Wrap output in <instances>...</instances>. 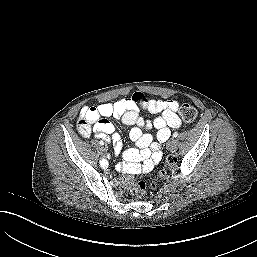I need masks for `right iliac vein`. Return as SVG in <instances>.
I'll return each instance as SVG.
<instances>
[{"label":"right iliac vein","mask_w":257,"mask_h":257,"mask_svg":"<svg viewBox=\"0 0 257 257\" xmlns=\"http://www.w3.org/2000/svg\"><path fill=\"white\" fill-rule=\"evenodd\" d=\"M101 151H102V154H103V155H106L107 149H106L105 147H102V148H101Z\"/></svg>","instance_id":"right-iliac-vein-1"}]
</instances>
